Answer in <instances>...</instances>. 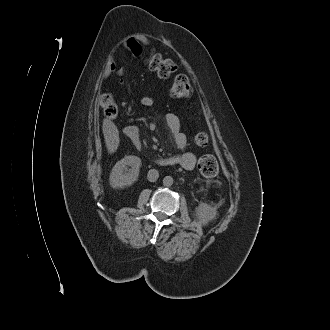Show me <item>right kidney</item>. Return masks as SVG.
Masks as SVG:
<instances>
[{
  "instance_id": "obj_1",
  "label": "right kidney",
  "mask_w": 330,
  "mask_h": 330,
  "mask_svg": "<svg viewBox=\"0 0 330 330\" xmlns=\"http://www.w3.org/2000/svg\"><path fill=\"white\" fill-rule=\"evenodd\" d=\"M128 166L131 168L128 169ZM141 166V159L129 155L118 161L109 176V183L112 188L122 189L131 186L137 181Z\"/></svg>"
}]
</instances>
